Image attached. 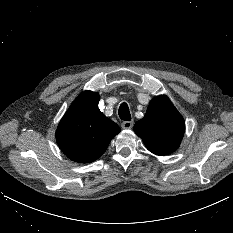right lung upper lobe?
<instances>
[{
	"label": "right lung upper lobe",
	"mask_w": 233,
	"mask_h": 233,
	"mask_svg": "<svg viewBox=\"0 0 233 233\" xmlns=\"http://www.w3.org/2000/svg\"><path fill=\"white\" fill-rule=\"evenodd\" d=\"M99 94L82 92L67 110L56 131V140L64 154L79 163L98 159L120 127L99 110Z\"/></svg>",
	"instance_id": "1"
}]
</instances>
